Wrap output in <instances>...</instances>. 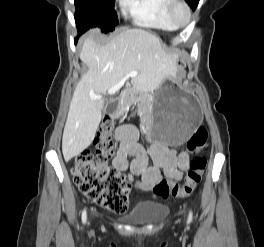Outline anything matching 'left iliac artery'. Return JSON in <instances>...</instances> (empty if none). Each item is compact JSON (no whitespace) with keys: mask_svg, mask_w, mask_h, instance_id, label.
I'll return each instance as SVG.
<instances>
[{"mask_svg":"<svg viewBox=\"0 0 264 247\" xmlns=\"http://www.w3.org/2000/svg\"><path fill=\"white\" fill-rule=\"evenodd\" d=\"M192 211H190V213H189V217H188V220L191 222L192 221Z\"/></svg>","mask_w":264,"mask_h":247,"instance_id":"44dca946","label":"left iliac artery"}]
</instances>
